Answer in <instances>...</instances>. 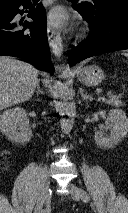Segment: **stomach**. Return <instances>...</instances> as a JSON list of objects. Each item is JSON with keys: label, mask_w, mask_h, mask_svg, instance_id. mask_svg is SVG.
Returning <instances> with one entry per match:
<instances>
[{"label": "stomach", "mask_w": 128, "mask_h": 213, "mask_svg": "<svg viewBox=\"0 0 128 213\" xmlns=\"http://www.w3.org/2000/svg\"><path fill=\"white\" fill-rule=\"evenodd\" d=\"M76 74L79 81L87 86H96L105 78L103 70L97 65L80 67Z\"/></svg>", "instance_id": "0dacf381"}]
</instances>
